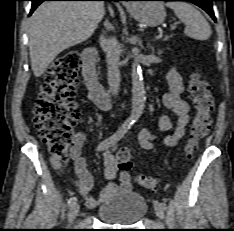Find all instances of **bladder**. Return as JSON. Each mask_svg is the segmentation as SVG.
Here are the masks:
<instances>
[{
	"label": "bladder",
	"mask_w": 234,
	"mask_h": 231,
	"mask_svg": "<svg viewBox=\"0 0 234 231\" xmlns=\"http://www.w3.org/2000/svg\"><path fill=\"white\" fill-rule=\"evenodd\" d=\"M148 211L145 198L133 191L116 193L98 209L102 222L131 225L141 220Z\"/></svg>",
	"instance_id": "31cf9c89"
}]
</instances>
